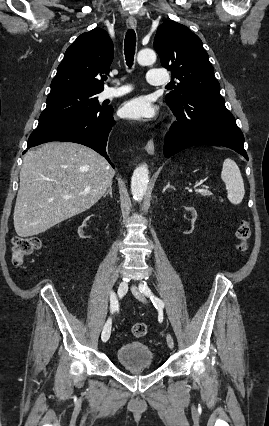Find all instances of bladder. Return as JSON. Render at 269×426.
Masks as SVG:
<instances>
[{
    "label": "bladder",
    "instance_id": "1",
    "mask_svg": "<svg viewBox=\"0 0 269 426\" xmlns=\"http://www.w3.org/2000/svg\"><path fill=\"white\" fill-rule=\"evenodd\" d=\"M115 359L124 369L135 370L151 367L154 355L146 345L134 341L121 344L115 352Z\"/></svg>",
    "mask_w": 269,
    "mask_h": 426
}]
</instances>
